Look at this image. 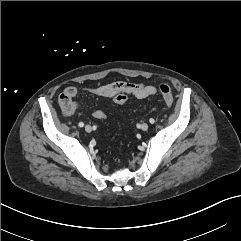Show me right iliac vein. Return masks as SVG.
I'll use <instances>...</instances> for the list:
<instances>
[{
	"instance_id": "63e3f726",
	"label": "right iliac vein",
	"mask_w": 241,
	"mask_h": 241,
	"mask_svg": "<svg viewBox=\"0 0 241 241\" xmlns=\"http://www.w3.org/2000/svg\"><path fill=\"white\" fill-rule=\"evenodd\" d=\"M85 131L86 132H91L92 131V127L90 125H86L85 126Z\"/></svg>"
}]
</instances>
